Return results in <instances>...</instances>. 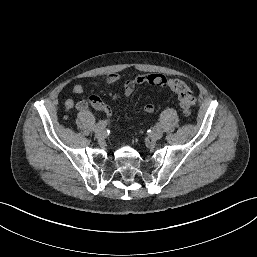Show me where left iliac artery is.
I'll list each match as a JSON object with an SVG mask.
<instances>
[{
	"instance_id": "left-iliac-artery-1",
	"label": "left iliac artery",
	"mask_w": 257,
	"mask_h": 257,
	"mask_svg": "<svg viewBox=\"0 0 257 257\" xmlns=\"http://www.w3.org/2000/svg\"><path fill=\"white\" fill-rule=\"evenodd\" d=\"M155 128H156V129H159V128H160V123H157V124L155 125Z\"/></svg>"
}]
</instances>
